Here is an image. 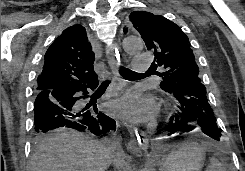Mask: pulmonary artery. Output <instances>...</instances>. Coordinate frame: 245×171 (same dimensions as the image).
I'll list each match as a JSON object with an SVG mask.
<instances>
[{
    "instance_id": "1",
    "label": "pulmonary artery",
    "mask_w": 245,
    "mask_h": 171,
    "mask_svg": "<svg viewBox=\"0 0 245 171\" xmlns=\"http://www.w3.org/2000/svg\"><path fill=\"white\" fill-rule=\"evenodd\" d=\"M149 57L147 55H136L133 57L135 71H145L149 66Z\"/></svg>"
}]
</instances>
